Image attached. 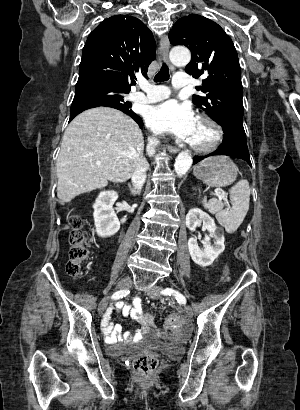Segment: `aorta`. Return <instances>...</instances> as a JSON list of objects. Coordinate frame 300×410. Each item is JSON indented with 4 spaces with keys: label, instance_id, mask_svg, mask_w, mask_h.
Returning a JSON list of instances; mask_svg holds the SVG:
<instances>
[{
    "label": "aorta",
    "instance_id": "1",
    "mask_svg": "<svg viewBox=\"0 0 300 410\" xmlns=\"http://www.w3.org/2000/svg\"><path fill=\"white\" fill-rule=\"evenodd\" d=\"M190 59V51L185 47H175L170 51V60L175 65H187ZM192 162L193 160L189 153H179L174 164V170L177 176H183L190 169Z\"/></svg>",
    "mask_w": 300,
    "mask_h": 410
}]
</instances>
